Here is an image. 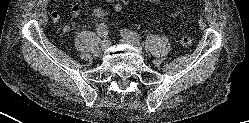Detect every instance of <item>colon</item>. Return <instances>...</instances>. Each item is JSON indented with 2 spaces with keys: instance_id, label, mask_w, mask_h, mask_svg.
I'll use <instances>...</instances> for the list:
<instances>
[{
  "instance_id": "colon-1",
  "label": "colon",
  "mask_w": 249,
  "mask_h": 123,
  "mask_svg": "<svg viewBox=\"0 0 249 123\" xmlns=\"http://www.w3.org/2000/svg\"><path fill=\"white\" fill-rule=\"evenodd\" d=\"M179 44L184 49H189L192 46V39L188 36H181L179 38Z\"/></svg>"
}]
</instances>
